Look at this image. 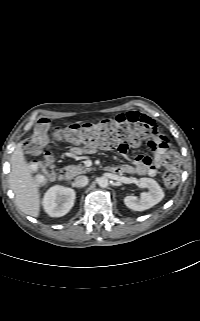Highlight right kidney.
I'll return each mask as SVG.
<instances>
[{
    "label": "right kidney",
    "instance_id": "ca27d5eb",
    "mask_svg": "<svg viewBox=\"0 0 200 321\" xmlns=\"http://www.w3.org/2000/svg\"><path fill=\"white\" fill-rule=\"evenodd\" d=\"M76 193L72 188L53 186L45 193L43 207L51 217H61L67 214L74 205Z\"/></svg>",
    "mask_w": 200,
    "mask_h": 321
}]
</instances>
